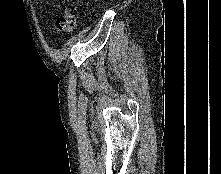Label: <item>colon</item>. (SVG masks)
<instances>
[{
    "instance_id": "obj_1",
    "label": "colon",
    "mask_w": 221,
    "mask_h": 174,
    "mask_svg": "<svg viewBox=\"0 0 221 174\" xmlns=\"http://www.w3.org/2000/svg\"><path fill=\"white\" fill-rule=\"evenodd\" d=\"M63 14L57 19L56 26L61 33H71L77 25V15L69 0H62Z\"/></svg>"
}]
</instances>
